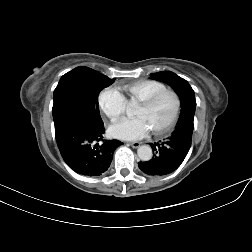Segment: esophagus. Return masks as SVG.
<instances>
[{
  "label": "esophagus",
  "mask_w": 252,
  "mask_h": 252,
  "mask_svg": "<svg viewBox=\"0 0 252 252\" xmlns=\"http://www.w3.org/2000/svg\"><path fill=\"white\" fill-rule=\"evenodd\" d=\"M129 145L133 148H138L141 145V143L140 142H131V143H129Z\"/></svg>",
  "instance_id": "1"
}]
</instances>
